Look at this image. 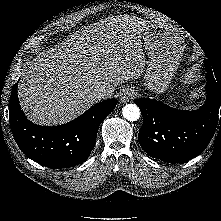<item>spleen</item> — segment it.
I'll return each instance as SVG.
<instances>
[{"mask_svg":"<svg viewBox=\"0 0 221 221\" xmlns=\"http://www.w3.org/2000/svg\"><path fill=\"white\" fill-rule=\"evenodd\" d=\"M174 100H175V98H172V97L169 98V102H175Z\"/></svg>","mask_w":221,"mask_h":221,"instance_id":"1","label":"spleen"}]
</instances>
